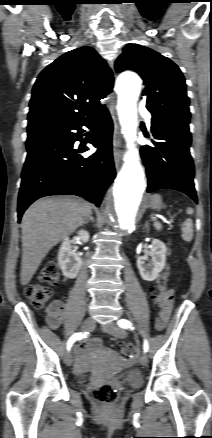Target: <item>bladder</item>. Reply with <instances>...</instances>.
I'll return each mask as SVG.
<instances>
[{
    "instance_id": "obj_1",
    "label": "bladder",
    "mask_w": 212,
    "mask_h": 438,
    "mask_svg": "<svg viewBox=\"0 0 212 438\" xmlns=\"http://www.w3.org/2000/svg\"><path fill=\"white\" fill-rule=\"evenodd\" d=\"M120 378L122 380H124L125 382H127L129 385L134 386V387L139 386L141 383L139 377L135 373L130 372V371L122 373L120 375Z\"/></svg>"
}]
</instances>
